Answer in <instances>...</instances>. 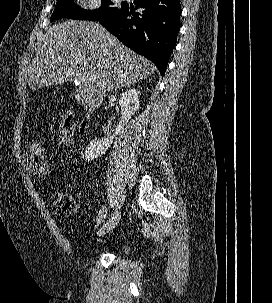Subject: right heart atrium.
I'll return each mask as SVG.
<instances>
[{
	"label": "right heart atrium",
	"mask_w": 272,
	"mask_h": 303,
	"mask_svg": "<svg viewBox=\"0 0 272 303\" xmlns=\"http://www.w3.org/2000/svg\"><path fill=\"white\" fill-rule=\"evenodd\" d=\"M102 0H80L82 7L86 9H96L100 7Z\"/></svg>",
	"instance_id": "d8ad5b80"
}]
</instances>
